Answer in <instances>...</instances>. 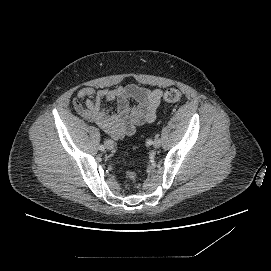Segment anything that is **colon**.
I'll list each match as a JSON object with an SVG mask.
<instances>
[{
	"instance_id": "5ec220e1",
	"label": "colon",
	"mask_w": 271,
	"mask_h": 271,
	"mask_svg": "<svg viewBox=\"0 0 271 271\" xmlns=\"http://www.w3.org/2000/svg\"><path fill=\"white\" fill-rule=\"evenodd\" d=\"M163 98L168 103H176L181 99V93L177 89H168ZM126 176L133 183L137 181V174L134 172H127Z\"/></svg>"
}]
</instances>
